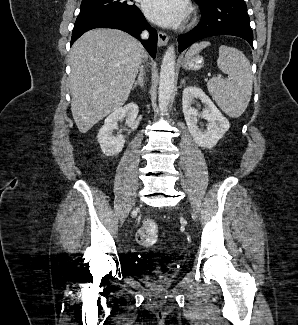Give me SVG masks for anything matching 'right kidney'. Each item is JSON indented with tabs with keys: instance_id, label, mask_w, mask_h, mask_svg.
Instances as JSON below:
<instances>
[{
	"instance_id": "1",
	"label": "right kidney",
	"mask_w": 298,
	"mask_h": 325,
	"mask_svg": "<svg viewBox=\"0 0 298 325\" xmlns=\"http://www.w3.org/2000/svg\"><path fill=\"white\" fill-rule=\"evenodd\" d=\"M138 112V104H136V102H128V104H125L122 108H117V110H114L112 114H109V116L105 118L104 124L97 134V140L103 154H106V156H113V154L121 152L124 146L125 136L124 134H116V136H114L113 130L117 128L118 120H125V124L131 126Z\"/></svg>"
}]
</instances>
